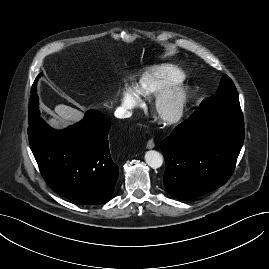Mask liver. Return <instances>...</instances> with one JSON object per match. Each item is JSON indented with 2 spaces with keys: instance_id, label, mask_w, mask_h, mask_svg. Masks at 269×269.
<instances>
[{
  "instance_id": "liver-1",
  "label": "liver",
  "mask_w": 269,
  "mask_h": 269,
  "mask_svg": "<svg viewBox=\"0 0 269 269\" xmlns=\"http://www.w3.org/2000/svg\"><path fill=\"white\" fill-rule=\"evenodd\" d=\"M83 118V113L70 106L59 104L55 107V113L48 119L50 126L61 129L69 123H76Z\"/></svg>"
}]
</instances>
